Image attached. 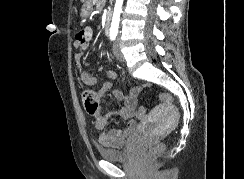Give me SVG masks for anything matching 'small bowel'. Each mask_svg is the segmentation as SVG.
Returning a JSON list of instances; mask_svg holds the SVG:
<instances>
[{
  "instance_id": "c3829d8e",
  "label": "small bowel",
  "mask_w": 244,
  "mask_h": 179,
  "mask_svg": "<svg viewBox=\"0 0 244 179\" xmlns=\"http://www.w3.org/2000/svg\"><path fill=\"white\" fill-rule=\"evenodd\" d=\"M89 13V12H84ZM93 37V31L90 27H86L77 33L76 39L74 41V47L78 52L74 55V60L78 66L82 65V57L84 51L89 47V44ZM106 77L110 81L103 83L102 87L98 90V98H103L108 92L112 91L113 83L112 80L116 79L117 74L114 71L106 72ZM80 80L83 84L87 86H94L97 84V77L91 75L88 72H82L80 74ZM114 95L116 98L124 100V105L119 109L118 115L126 120V127L122 130H111L108 132L102 131L108 122V116L104 114H97L94 118V127L96 130L101 131L98 136V142L105 146L119 147L122 146L131 132L137 126V121L134 119L133 110L136 108L137 102V87L135 85L131 86L129 93L124 96L122 93L115 91ZM139 110H144L140 108ZM143 116V115H137Z\"/></svg>"
}]
</instances>
